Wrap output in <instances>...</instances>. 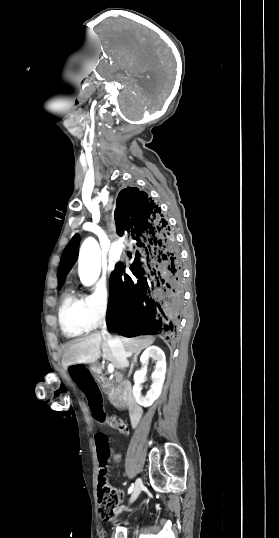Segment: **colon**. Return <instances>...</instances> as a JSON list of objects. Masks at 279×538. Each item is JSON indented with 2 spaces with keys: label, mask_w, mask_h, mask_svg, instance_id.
<instances>
[{
  "label": "colon",
  "mask_w": 279,
  "mask_h": 538,
  "mask_svg": "<svg viewBox=\"0 0 279 538\" xmlns=\"http://www.w3.org/2000/svg\"><path fill=\"white\" fill-rule=\"evenodd\" d=\"M110 425L121 432H128L129 426L121 419L114 418ZM95 444L99 458V477H98V497L99 512L105 521L112 520L116 514L120 496L118 492L108 483L107 466L111 456V448L107 436L103 433L95 435Z\"/></svg>",
  "instance_id": "5ec220e1"
}]
</instances>
